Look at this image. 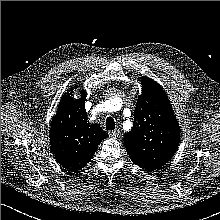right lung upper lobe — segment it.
I'll return each mask as SVG.
<instances>
[{
    "mask_svg": "<svg viewBox=\"0 0 220 220\" xmlns=\"http://www.w3.org/2000/svg\"><path fill=\"white\" fill-rule=\"evenodd\" d=\"M72 90L62 96L51 122L50 144L54 157L69 173L79 172L94 156L108 134L98 124H90L85 110L86 92L74 100Z\"/></svg>",
    "mask_w": 220,
    "mask_h": 220,
    "instance_id": "right-lung-upper-lobe-1",
    "label": "right lung upper lobe"
}]
</instances>
